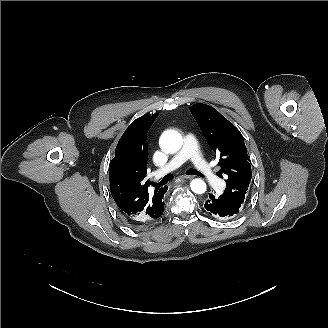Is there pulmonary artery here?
Returning a JSON list of instances; mask_svg holds the SVG:
<instances>
[{
  "label": "pulmonary artery",
  "instance_id": "obj_1",
  "mask_svg": "<svg viewBox=\"0 0 328 328\" xmlns=\"http://www.w3.org/2000/svg\"><path fill=\"white\" fill-rule=\"evenodd\" d=\"M187 143L183 146L182 150L178 151L173 160V165L177 169H182L185 167L189 157L192 159V162L198 166V169L205 176L207 181L210 184H217L220 181V173L216 168L211 164V162L206 158V155L198 147L200 143V138L196 134L187 133L185 135ZM170 169V166L167 165L163 168V171L166 172Z\"/></svg>",
  "mask_w": 328,
  "mask_h": 328
}]
</instances>
